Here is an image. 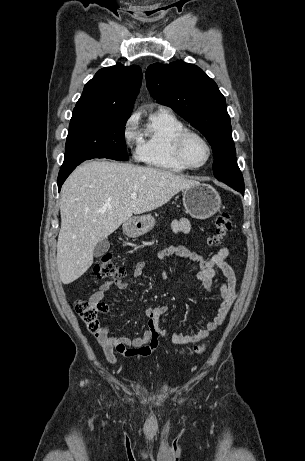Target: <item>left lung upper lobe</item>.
<instances>
[{
    "label": "left lung upper lobe",
    "instance_id": "5c2ea615",
    "mask_svg": "<svg viewBox=\"0 0 305 461\" xmlns=\"http://www.w3.org/2000/svg\"><path fill=\"white\" fill-rule=\"evenodd\" d=\"M146 84L158 103L171 107L209 141L215 178L239 192L244 189L230 116L216 83L196 65L176 61L150 65L146 70Z\"/></svg>",
    "mask_w": 305,
    "mask_h": 461
}]
</instances>
